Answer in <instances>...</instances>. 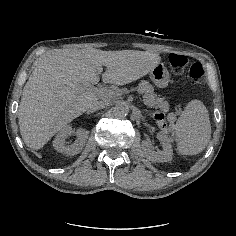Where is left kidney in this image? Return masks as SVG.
Wrapping results in <instances>:
<instances>
[{
	"instance_id": "1",
	"label": "left kidney",
	"mask_w": 236,
	"mask_h": 236,
	"mask_svg": "<svg viewBox=\"0 0 236 236\" xmlns=\"http://www.w3.org/2000/svg\"><path fill=\"white\" fill-rule=\"evenodd\" d=\"M157 138L161 141L163 150L152 151L149 146V142L143 141L142 148L146 154L148 160L152 162H168L172 160V147L169 138L164 133H158Z\"/></svg>"
}]
</instances>
